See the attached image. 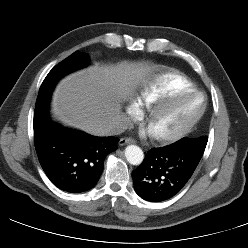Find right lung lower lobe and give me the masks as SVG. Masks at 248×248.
<instances>
[{
    "mask_svg": "<svg viewBox=\"0 0 248 248\" xmlns=\"http://www.w3.org/2000/svg\"><path fill=\"white\" fill-rule=\"evenodd\" d=\"M52 91L39 92L34 111V143L39 162L59 189L80 193L98 182L107 154L117 149L119 139L97 137L62 128L49 117Z\"/></svg>",
    "mask_w": 248,
    "mask_h": 248,
    "instance_id": "right-lung-lower-lobe-1",
    "label": "right lung lower lobe"
}]
</instances>
